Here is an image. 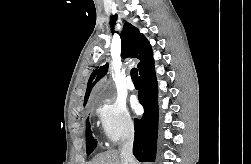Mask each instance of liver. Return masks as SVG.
<instances>
[{
	"label": "liver",
	"instance_id": "1",
	"mask_svg": "<svg viewBox=\"0 0 251 164\" xmlns=\"http://www.w3.org/2000/svg\"><path fill=\"white\" fill-rule=\"evenodd\" d=\"M87 164H123L121 152L118 150H108L98 154ZM138 164V163H136Z\"/></svg>",
	"mask_w": 251,
	"mask_h": 164
}]
</instances>
